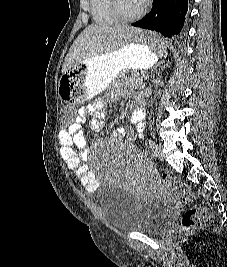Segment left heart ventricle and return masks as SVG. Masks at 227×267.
Returning <instances> with one entry per match:
<instances>
[{
    "label": "left heart ventricle",
    "mask_w": 227,
    "mask_h": 267,
    "mask_svg": "<svg viewBox=\"0 0 227 267\" xmlns=\"http://www.w3.org/2000/svg\"><path fill=\"white\" fill-rule=\"evenodd\" d=\"M143 3L140 0H121V7L123 11L129 15L137 13Z\"/></svg>",
    "instance_id": "b2bd125f"
}]
</instances>
